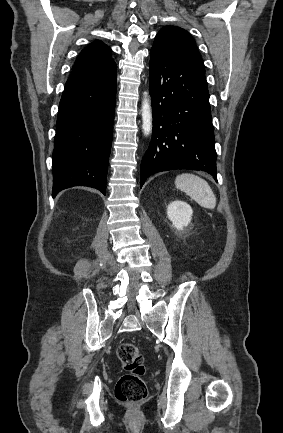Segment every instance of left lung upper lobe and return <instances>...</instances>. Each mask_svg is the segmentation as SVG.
Returning a JSON list of instances; mask_svg holds the SVG:
<instances>
[{
  "label": "left lung upper lobe",
  "instance_id": "1",
  "mask_svg": "<svg viewBox=\"0 0 283 433\" xmlns=\"http://www.w3.org/2000/svg\"><path fill=\"white\" fill-rule=\"evenodd\" d=\"M151 50L194 63L204 70L195 40L180 27H163L156 35Z\"/></svg>",
  "mask_w": 283,
  "mask_h": 433
}]
</instances>
